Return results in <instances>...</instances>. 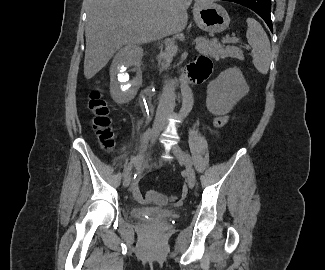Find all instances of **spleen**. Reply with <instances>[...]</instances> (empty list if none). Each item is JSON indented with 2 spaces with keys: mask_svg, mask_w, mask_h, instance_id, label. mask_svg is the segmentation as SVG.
<instances>
[{
  "mask_svg": "<svg viewBox=\"0 0 325 270\" xmlns=\"http://www.w3.org/2000/svg\"><path fill=\"white\" fill-rule=\"evenodd\" d=\"M246 38L252 46V58L255 68L262 74H267L271 62V46L266 32L261 24L253 18H247Z\"/></svg>",
  "mask_w": 325,
  "mask_h": 270,
  "instance_id": "spleen-1",
  "label": "spleen"
}]
</instances>
